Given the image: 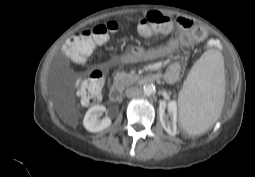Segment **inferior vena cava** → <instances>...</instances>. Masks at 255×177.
<instances>
[{
    "label": "inferior vena cava",
    "mask_w": 255,
    "mask_h": 177,
    "mask_svg": "<svg viewBox=\"0 0 255 177\" xmlns=\"http://www.w3.org/2000/svg\"><path fill=\"white\" fill-rule=\"evenodd\" d=\"M141 93V90L137 87H130L125 91V94L128 98L137 97Z\"/></svg>",
    "instance_id": "obj_1"
}]
</instances>
